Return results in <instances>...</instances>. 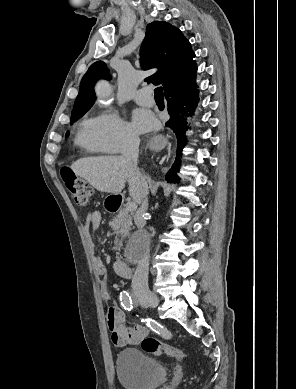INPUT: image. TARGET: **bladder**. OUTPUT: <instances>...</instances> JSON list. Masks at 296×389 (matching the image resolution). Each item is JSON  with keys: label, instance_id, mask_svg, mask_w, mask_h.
Here are the masks:
<instances>
[{"label": "bladder", "instance_id": "obj_1", "mask_svg": "<svg viewBox=\"0 0 296 389\" xmlns=\"http://www.w3.org/2000/svg\"><path fill=\"white\" fill-rule=\"evenodd\" d=\"M115 370L120 384L126 389H155L167 378L166 367L135 348L119 351Z\"/></svg>", "mask_w": 296, "mask_h": 389}]
</instances>
